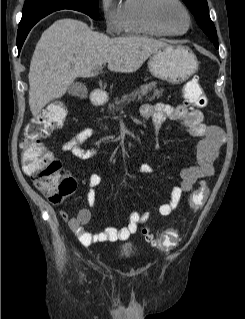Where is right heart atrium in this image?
Masks as SVG:
<instances>
[{
	"label": "right heart atrium",
	"instance_id": "d8ad5b80",
	"mask_svg": "<svg viewBox=\"0 0 245 319\" xmlns=\"http://www.w3.org/2000/svg\"><path fill=\"white\" fill-rule=\"evenodd\" d=\"M100 6L107 33L121 32L120 7L116 0H101Z\"/></svg>",
	"mask_w": 245,
	"mask_h": 319
}]
</instances>
